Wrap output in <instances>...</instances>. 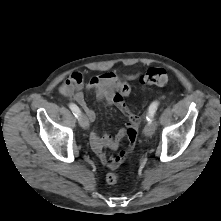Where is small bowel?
<instances>
[{
    "instance_id": "small-bowel-1",
    "label": "small bowel",
    "mask_w": 221,
    "mask_h": 221,
    "mask_svg": "<svg viewBox=\"0 0 221 221\" xmlns=\"http://www.w3.org/2000/svg\"><path fill=\"white\" fill-rule=\"evenodd\" d=\"M136 74L120 76L114 72H106L98 76L92 77L88 82H84L83 76L79 72L70 74L60 86V93L66 97L75 100L85 111L90 122L96 120L95 111L87 104L83 88L88 91H94L99 101L107 105H114L115 95L121 86L128 80L135 79ZM127 127L120 129L115 135L100 134L96 129H92L89 135V141L94 153L100 158L102 163L108 166L107 160L112 156L107 150L115 151L118 149L121 140L126 135L127 128L137 121L138 117L128 111ZM109 167V166H108Z\"/></svg>"
}]
</instances>
